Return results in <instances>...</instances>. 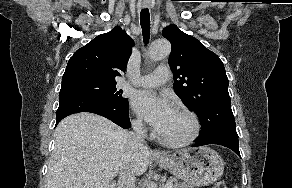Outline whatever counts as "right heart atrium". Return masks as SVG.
Returning a JSON list of instances; mask_svg holds the SVG:
<instances>
[{
	"label": "right heart atrium",
	"instance_id": "1",
	"mask_svg": "<svg viewBox=\"0 0 292 188\" xmlns=\"http://www.w3.org/2000/svg\"><path fill=\"white\" fill-rule=\"evenodd\" d=\"M132 124H133L134 128L139 130V131L144 130V124H143V121L141 119L136 118V119L132 120Z\"/></svg>",
	"mask_w": 292,
	"mask_h": 188
}]
</instances>
